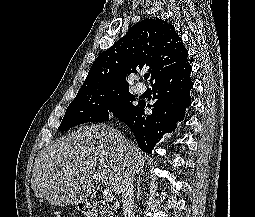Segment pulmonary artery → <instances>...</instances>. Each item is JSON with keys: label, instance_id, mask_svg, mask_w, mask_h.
<instances>
[{"label": "pulmonary artery", "instance_id": "1", "mask_svg": "<svg viewBox=\"0 0 255 217\" xmlns=\"http://www.w3.org/2000/svg\"><path fill=\"white\" fill-rule=\"evenodd\" d=\"M135 91L137 94H142L145 91L144 85L137 83L135 87Z\"/></svg>", "mask_w": 255, "mask_h": 217}]
</instances>
